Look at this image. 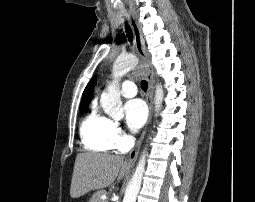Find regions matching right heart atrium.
Returning a JSON list of instances; mask_svg holds the SVG:
<instances>
[{
    "label": "right heart atrium",
    "instance_id": "d8ad5b80",
    "mask_svg": "<svg viewBox=\"0 0 255 202\" xmlns=\"http://www.w3.org/2000/svg\"><path fill=\"white\" fill-rule=\"evenodd\" d=\"M111 135L113 146L115 148L122 149L126 146L128 142V136L119 123L113 122Z\"/></svg>",
    "mask_w": 255,
    "mask_h": 202
}]
</instances>
